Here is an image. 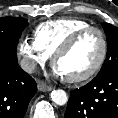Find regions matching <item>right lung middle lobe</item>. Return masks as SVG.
Masks as SVG:
<instances>
[{
    "instance_id": "obj_1",
    "label": "right lung middle lobe",
    "mask_w": 118,
    "mask_h": 118,
    "mask_svg": "<svg viewBox=\"0 0 118 118\" xmlns=\"http://www.w3.org/2000/svg\"><path fill=\"white\" fill-rule=\"evenodd\" d=\"M28 20L20 17L0 18V55L16 56V48Z\"/></svg>"
}]
</instances>
